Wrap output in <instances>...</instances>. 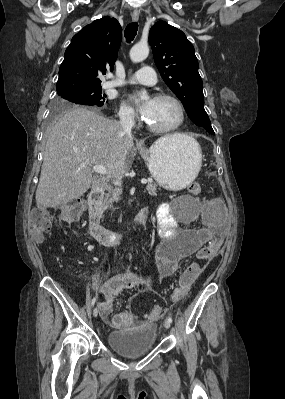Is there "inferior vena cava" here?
Here are the masks:
<instances>
[{
    "instance_id": "1",
    "label": "inferior vena cava",
    "mask_w": 285,
    "mask_h": 399,
    "mask_svg": "<svg viewBox=\"0 0 285 399\" xmlns=\"http://www.w3.org/2000/svg\"><path fill=\"white\" fill-rule=\"evenodd\" d=\"M120 124L126 134H131V130L135 124L134 118L130 113H124L120 116Z\"/></svg>"
}]
</instances>
